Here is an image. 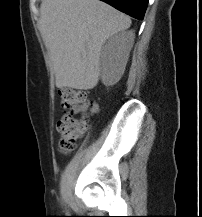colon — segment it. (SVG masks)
Segmentation results:
<instances>
[{
  "label": "colon",
  "mask_w": 202,
  "mask_h": 217,
  "mask_svg": "<svg viewBox=\"0 0 202 217\" xmlns=\"http://www.w3.org/2000/svg\"><path fill=\"white\" fill-rule=\"evenodd\" d=\"M61 100L65 113L57 123L60 135L59 150L63 154H69L74 151L78 140L84 136L88 128V121L77 118L75 110L91 105L92 100L86 92L70 88L61 90Z\"/></svg>",
  "instance_id": "obj_1"
}]
</instances>
